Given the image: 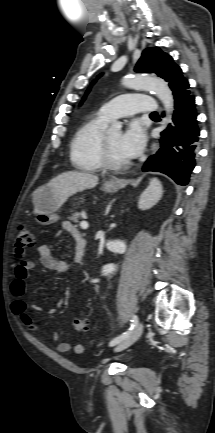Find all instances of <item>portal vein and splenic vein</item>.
<instances>
[{"mask_svg":"<svg viewBox=\"0 0 215 433\" xmlns=\"http://www.w3.org/2000/svg\"><path fill=\"white\" fill-rule=\"evenodd\" d=\"M80 226H81L82 229H87L88 226H89V224H88L87 221L84 220V221L80 222Z\"/></svg>","mask_w":215,"mask_h":433,"instance_id":"18ae733b","label":"portal vein and splenic vein"}]
</instances>
